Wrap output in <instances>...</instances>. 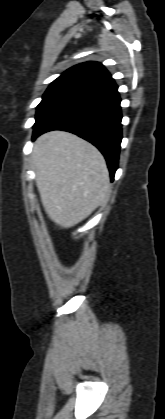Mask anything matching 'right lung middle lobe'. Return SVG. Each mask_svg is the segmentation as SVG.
<instances>
[{
    "instance_id": "dd1d6c3e",
    "label": "right lung middle lobe",
    "mask_w": 165,
    "mask_h": 419,
    "mask_svg": "<svg viewBox=\"0 0 165 419\" xmlns=\"http://www.w3.org/2000/svg\"><path fill=\"white\" fill-rule=\"evenodd\" d=\"M81 96L82 95L80 93L70 90L48 88L43 95L42 101L37 106L35 117L36 122L33 128L35 129L38 127L50 114L75 101Z\"/></svg>"
}]
</instances>
